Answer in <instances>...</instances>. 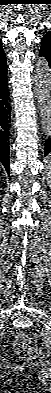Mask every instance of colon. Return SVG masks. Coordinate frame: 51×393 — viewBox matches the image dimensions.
I'll list each match as a JSON object with an SVG mask.
<instances>
[{
    "label": "colon",
    "instance_id": "1",
    "mask_svg": "<svg viewBox=\"0 0 51 393\" xmlns=\"http://www.w3.org/2000/svg\"><path fill=\"white\" fill-rule=\"evenodd\" d=\"M13 349L20 359L31 360L39 356L40 349L25 333H19L13 341Z\"/></svg>",
    "mask_w": 51,
    "mask_h": 393
}]
</instances>
